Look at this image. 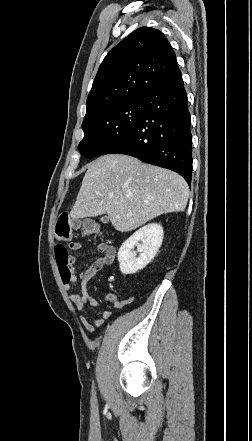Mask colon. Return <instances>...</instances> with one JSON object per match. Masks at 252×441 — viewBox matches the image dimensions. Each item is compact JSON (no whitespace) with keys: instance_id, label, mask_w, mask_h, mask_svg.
<instances>
[{"instance_id":"obj_1","label":"colon","mask_w":252,"mask_h":441,"mask_svg":"<svg viewBox=\"0 0 252 441\" xmlns=\"http://www.w3.org/2000/svg\"><path fill=\"white\" fill-rule=\"evenodd\" d=\"M78 229L87 234H91L96 231L95 225L92 221H76L73 220L68 214H62L56 224L55 235L58 242L55 245V256L57 264L59 265L60 272L66 278H69L71 276V256L68 252V247L64 243V241L71 239L72 232ZM102 246L103 244H100L97 248H101Z\"/></svg>"}]
</instances>
